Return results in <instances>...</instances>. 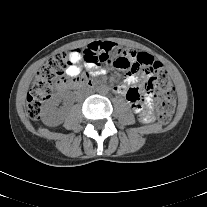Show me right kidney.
Returning <instances> with one entry per match:
<instances>
[{"instance_id":"right-kidney-1","label":"right kidney","mask_w":207,"mask_h":207,"mask_svg":"<svg viewBox=\"0 0 207 207\" xmlns=\"http://www.w3.org/2000/svg\"><path fill=\"white\" fill-rule=\"evenodd\" d=\"M59 102L58 96L53 97L47 104L44 112L42 121L47 126H57L64 121V113L57 109Z\"/></svg>"}]
</instances>
